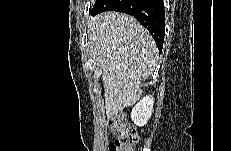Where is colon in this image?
I'll return each instance as SVG.
<instances>
[{"instance_id":"obj_1","label":"colon","mask_w":231,"mask_h":151,"mask_svg":"<svg viewBox=\"0 0 231 151\" xmlns=\"http://www.w3.org/2000/svg\"><path fill=\"white\" fill-rule=\"evenodd\" d=\"M109 126L115 136L114 141L109 144V151H132L138 137L125 116L120 112L112 114Z\"/></svg>"}]
</instances>
